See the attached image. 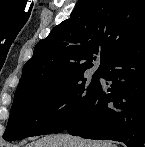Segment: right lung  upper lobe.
Here are the masks:
<instances>
[{
  "label": "right lung upper lobe",
  "instance_id": "right-lung-upper-lobe-1",
  "mask_svg": "<svg viewBox=\"0 0 145 147\" xmlns=\"http://www.w3.org/2000/svg\"><path fill=\"white\" fill-rule=\"evenodd\" d=\"M145 32V0H79L70 18L37 43L16 92L56 88L93 67L101 72L113 56ZM15 92V93H16Z\"/></svg>",
  "mask_w": 145,
  "mask_h": 147
}]
</instances>
